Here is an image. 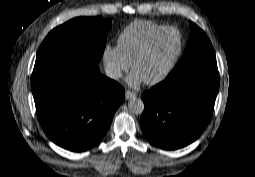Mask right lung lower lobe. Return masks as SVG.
Returning a JSON list of instances; mask_svg holds the SVG:
<instances>
[{
	"mask_svg": "<svg viewBox=\"0 0 255 177\" xmlns=\"http://www.w3.org/2000/svg\"><path fill=\"white\" fill-rule=\"evenodd\" d=\"M69 61L63 76L61 65ZM31 88L45 134L57 145L85 151L107 133L125 99L123 87L103 76L96 64L66 58L35 62Z\"/></svg>",
	"mask_w": 255,
	"mask_h": 177,
	"instance_id": "1",
	"label": "right lung lower lobe"
}]
</instances>
